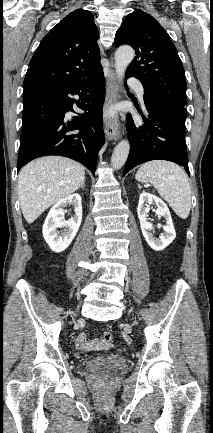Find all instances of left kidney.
I'll list each match as a JSON object with an SVG mask.
<instances>
[{
	"label": "left kidney",
	"instance_id": "obj_1",
	"mask_svg": "<svg viewBox=\"0 0 213 433\" xmlns=\"http://www.w3.org/2000/svg\"><path fill=\"white\" fill-rule=\"evenodd\" d=\"M149 205L155 204L156 214L158 218L164 217L166 219V225H163L162 228L164 230V234H162L159 239H155L152 231H154V227L152 223L147 221ZM137 214L140 221V227L143 233V236L148 243V245L155 251H161L165 249L168 245L172 243V241L176 237V232L173 226L171 214L169 208L165 204L163 200L158 198L155 195H152L147 192H143L139 197V203L137 208ZM158 228H161V224L157 225Z\"/></svg>",
	"mask_w": 213,
	"mask_h": 433
}]
</instances>
